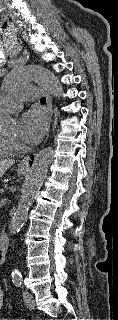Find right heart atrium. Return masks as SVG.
<instances>
[{
  "label": "right heart atrium",
  "mask_w": 118,
  "mask_h": 320,
  "mask_svg": "<svg viewBox=\"0 0 118 320\" xmlns=\"http://www.w3.org/2000/svg\"><path fill=\"white\" fill-rule=\"evenodd\" d=\"M10 141H11V144L13 147H15V148L19 147V144L16 140H10Z\"/></svg>",
  "instance_id": "d8ad5b80"
}]
</instances>
